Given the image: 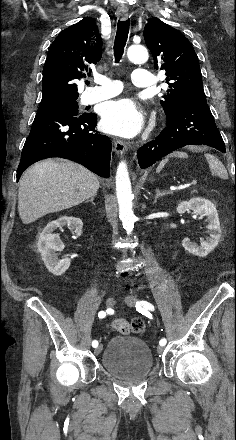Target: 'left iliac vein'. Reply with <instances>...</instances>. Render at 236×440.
I'll return each mask as SVG.
<instances>
[{"instance_id":"1","label":"left iliac vein","mask_w":236,"mask_h":440,"mask_svg":"<svg viewBox=\"0 0 236 440\" xmlns=\"http://www.w3.org/2000/svg\"><path fill=\"white\" fill-rule=\"evenodd\" d=\"M125 303H126L128 306L133 307V306L135 305V303H136V297H135L134 295H128V296H126V298H125ZM157 351H158L159 353H162V352L164 351V347L161 346V345L158 346Z\"/></svg>"}]
</instances>
